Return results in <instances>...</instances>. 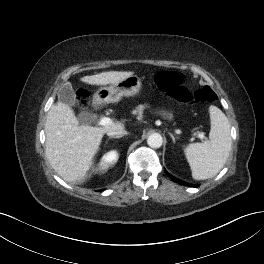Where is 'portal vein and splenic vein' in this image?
Segmentation results:
<instances>
[{
    "label": "portal vein and splenic vein",
    "instance_id": "portal-vein-and-splenic-vein-1",
    "mask_svg": "<svg viewBox=\"0 0 264 264\" xmlns=\"http://www.w3.org/2000/svg\"><path fill=\"white\" fill-rule=\"evenodd\" d=\"M111 124H112V120L110 118H108V117H103L98 122V125H100V126H108V125H111ZM198 137L203 139L205 136H204L203 133H199Z\"/></svg>",
    "mask_w": 264,
    "mask_h": 264
}]
</instances>
